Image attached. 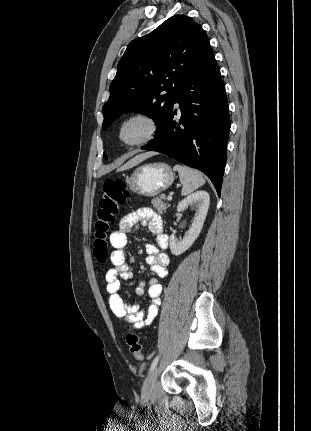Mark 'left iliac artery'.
<instances>
[{
    "label": "left iliac artery",
    "mask_w": 311,
    "mask_h": 431,
    "mask_svg": "<svg viewBox=\"0 0 311 431\" xmlns=\"http://www.w3.org/2000/svg\"><path fill=\"white\" fill-rule=\"evenodd\" d=\"M158 360H159V356L157 355L151 363L149 372H152L154 370V368L156 367V365L158 363Z\"/></svg>",
    "instance_id": "44dca946"
}]
</instances>
